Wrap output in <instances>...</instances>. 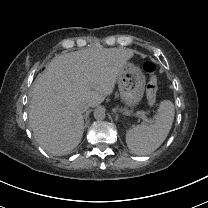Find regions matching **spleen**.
<instances>
[{
  "mask_svg": "<svg viewBox=\"0 0 208 208\" xmlns=\"http://www.w3.org/2000/svg\"><path fill=\"white\" fill-rule=\"evenodd\" d=\"M175 114L171 100H162L155 115L154 124H141L127 130L125 142L131 153L147 155L161 146L166 139L173 123Z\"/></svg>",
  "mask_w": 208,
  "mask_h": 208,
  "instance_id": "obj_1",
  "label": "spleen"
}]
</instances>
